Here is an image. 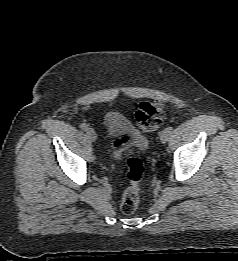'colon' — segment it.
I'll list each match as a JSON object with an SVG mask.
<instances>
[{"label":"colon","instance_id":"obj_1","mask_svg":"<svg viewBox=\"0 0 238 261\" xmlns=\"http://www.w3.org/2000/svg\"><path fill=\"white\" fill-rule=\"evenodd\" d=\"M164 106L158 102H142L136 112L137 126L145 132L156 130L163 118ZM127 180L121 201L120 209L123 214L134 213L140 201V183L143 179L145 167L143 161L132 152L127 155Z\"/></svg>","mask_w":238,"mask_h":261}]
</instances>
